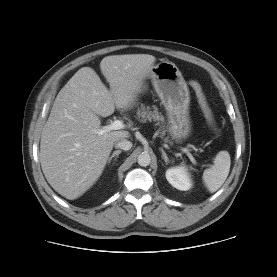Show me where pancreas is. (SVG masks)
<instances>
[{
	"mask_svg": "<svg viewBox=\"0 0 277 277\" xmlns=\"http://www.w3.org/2000/svg\"><path fill=\"white\" fill-rule=\"evenodd\" d=\"M136 115V118L141 123H146L147 121H157V124L160 125V123H163L164 121L163 115H161L156 106L150 107L140 104L137 108ZM160 131V136L163 138L166 132L163 125L160 126ZM164 141L168 142L169 140L168 138H164Z\"/></svg>",
	"mask_w": 277,
	"mask_h": 277,
	"instance_id": "1",
	"label": "pancreas"
}]
</instances>
